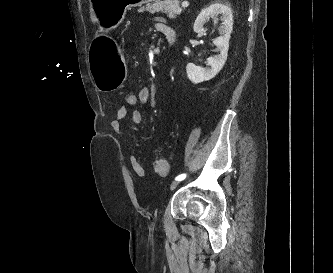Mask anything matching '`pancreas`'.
Listing matches in <instances>:
<instances>
[{"mask_svg": "<svg viewBox=\"0 0 333 273\" xmlns=\"http://www.w3.org/2000/svg\"><path fill=\"white\" fill-rule=\"evenodd\" d=\"M179 4V0H156L155 3L148 4L146 7L141 8L140 12H162L165 13L169 18L174 19L182 12V8Z\"/></svg>", "mask_w": 333, "mask_h": 273, "instance_id": "cf45deb5", "label": "pancreas"}]
</instances>
